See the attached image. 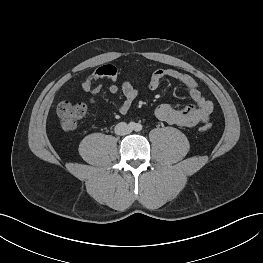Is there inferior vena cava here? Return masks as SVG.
Here are the masks:
<instances>
[{
	"label": "inferior vena cava",
	"mask_w": 263,
	"mask_h": 263,
	"mask_svg": "<svg viewBox=\"0 0 263 263\" xmlns=\"http://www.w3.org/2000/svg\"><path fill=\"white\" fill-rule=\"evenodd\" d=\"M131 132L130 127L125 122H120L115 126V133L117 135H126Z\"/></svg>",
	"instance_id": "inferior-vena-cava-1"
}]
</instances>
